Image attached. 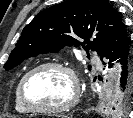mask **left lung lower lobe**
Wrapping results in <instances>:
<instances>
[{
  "instance_id": "left-lung-lower-lobe-1",
  "label": "left lung lower lobe",
  "mask_w": 133,
  "mask_h": 118,
  "mask_svg": "<svg viewBox=\"0 0 133 118\" xmlns=\"http://www.w3.org/2000/svg\"><path fill=\"white\" fill-rule=\"evenodd\" d=\"M100 56L101 59L104 57L109 61L108 68L112 67V61L119 59L122 65V72L116 91L122 93L129 89L131 90V96H133V52L124 24L119 26ZM103 64L106 63L104 62Z\"/></svg>"
}]
</instances>
